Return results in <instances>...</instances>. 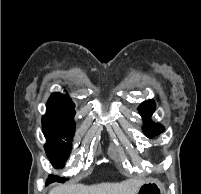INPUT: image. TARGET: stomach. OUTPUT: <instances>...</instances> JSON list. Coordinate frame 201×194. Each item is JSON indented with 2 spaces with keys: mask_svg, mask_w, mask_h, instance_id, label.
Listing matches in <instances>:
<instances>
[{
  "mask_svg": "<svg viewBox=\"0 0 201 194\" xmlns=\"http://www.w3.org/2000/svg\"><path fill=\"white\" fill-rule=\"evenodd\" d=\"M136 194H162V187L159 181H145L137 190Z\"/></svg>",
  "mask_w": 201,
  "mask_h": 194,
  "instance_id": "1",
  "label": "stomach"
}]
</instances>
